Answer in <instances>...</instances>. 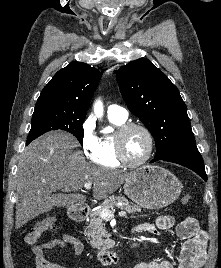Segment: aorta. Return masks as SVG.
<instances>
[{
  "label": "aorta",
  "instance_id": "762f6f07",
  "mask_svg": "<svg viewBox=\"0 0 221 268\" xmlns=\"http://www.w3.org/2000/svg\"><path fill=\"white\" fill-rule=\"evenodd\" d=\"M94 112L98 118H102V116H103V103L101 102V100H96V102L94 103ZM106 130L110 131L111 129L107 128Z\"/></svg>",
  "mask_w": 221,
  "mask_h": 268
}]
</instances>
